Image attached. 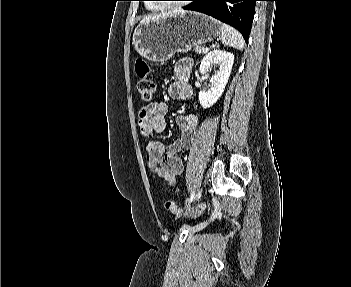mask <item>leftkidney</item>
I'll use <instances>...</instances> for the list:
<instances>
[{
    "label": "left kidney",
    "instance_id": "1",
    "mask_svg": "<svg viewBox=\"0 0 351 287\" xmlns=\"http://www.w3.org/2000/svg\"><path fill=\"white\" fill-rule=\"evenodd\" d=\"M234 62V55L223 50L210 51L202 59L200 64V73L208 75L212 67L218 65L219 69L210 79L211 87L207 92H199V102L203 108H209L217 102L222 95L225 86L230 77Z\"/></svg>",
    "mask_w": 351,
    "mask_h": 287
}]
</instances>
